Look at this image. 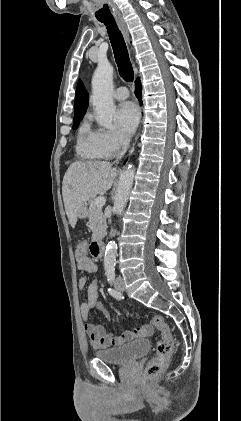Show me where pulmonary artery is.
I'll list each match as a JSON object with an SVG mask.
<instances>
[{"label": "pulmonary artery", "instance_id": "pulmonary-artery-1", "mask_svg": "<svg viewBox=\"0 0 241 421\" xmlns=\"http://www.w3.org/2000/svg\"><path fill=\"white\" fill-rule=\"evenodd\" d=\"M114 97L118 100H124L129 97V92L125 87H119L114 92Z\"/></svg>", "mask_w": 241, "mask_h": 421}]
</instances>
